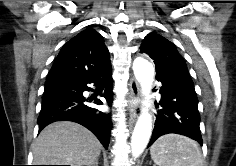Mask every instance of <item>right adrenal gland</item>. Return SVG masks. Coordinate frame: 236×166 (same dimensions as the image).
<instances>
[{
  "label": "right adrenal gland",
  "instance_id": "obj_1",
  "mask_svg": "<svg viewBox=\"0 0 236 166\" xmlns=\"http://www.w3.org/2000/svg\"><path fill=\"white\" fill-rule=\"evenodd\" d=\"M91 166H98V159Z\"/></svg>",
  "mask_w": 236,
  "mask_h": 166
}]
</instances>
